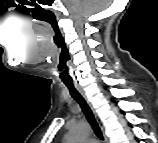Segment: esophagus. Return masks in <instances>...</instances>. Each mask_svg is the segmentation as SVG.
Returning a JSON list of instances; mask_svg holds the SVG:
<instances>
[{"mask_svg":"<svg viewBox=\"0 0 158 143\" xmlns=\"http://www.w3.org/2000/svg\"><path fill=\"white\" fill-rule=\"evenodd\" d=\"M75 88H76V89L78 90V92L83 96V98L87 101L88 105H89L90 108L92 109V111H93V113H94V115H95L96 121H97L98 125H99L100 128H101L103 137H104L105 141H107L108 139H107V137H106V135H105V132H104V126H103L101 120L99 119V116L97 115L96 111L94 110V108H93L91 102L89 101L87 95L85 94V91L83 90V88H82L80 85H77V84H75Z\"/></svg>","mask_w":158,"mask_h":143,"instance_id":"esophagus-1","label":"esophagus"}]
</instances>
